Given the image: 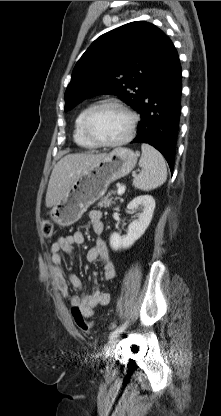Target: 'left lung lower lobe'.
<instances>
[{
	"mask_svg": "<svg viewBox=\"0 0 221 416\" xmlns=\"http://www.w3.org/2000/svg\"><path fill=\"white\" fill-rule=\"evenodd\" d=\"M181 66L176 49L166 38L138 108L141 121L131 143H148L159 150L173 170L181 113Z\"/></svg>",
	"mask_w": 221,
	"mask_h": 416,
	"instance_id": "left-lung-lower-lobe-1",
	"label": "left lung lower lobe"
}]
</instances>
